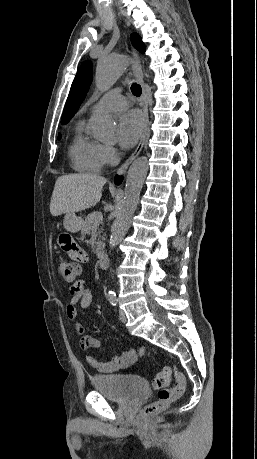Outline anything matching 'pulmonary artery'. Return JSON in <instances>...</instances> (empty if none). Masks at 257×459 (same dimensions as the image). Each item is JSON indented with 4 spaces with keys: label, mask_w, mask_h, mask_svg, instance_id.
<instances>
[{
    "label": "pulmonary artery",
    "mask_w": 257,
    "mask_h": 459,
    "mask_svg": "<svg viewBox=\"0 0 257 459\" xmlns=\"http://www.w3.org/2000/svg\"><path fill=\"white\" fill-rule=\"evenodd\" d=\"M128 102L121 90L118 88L112 89L104 94L92 107L94 111H120L127 107Z\"/></svg>",
    "instance_id": "pulmonary-artery-1"
}]
</instances>
